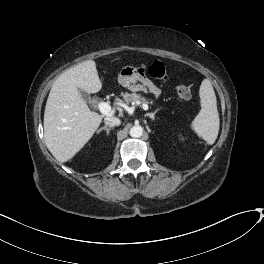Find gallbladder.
<instances>
[{
  "label": "gallbladder",
  "instance_id": "obj_1",
  "mask_svg": "<svg viewBox=\"0 0 264 264\" xmlns=\"http://www.w3.org/2000/svg\"><path fill=\"white\" fill-rule=\"evenodd\" d=\"M81 96L83 97V99L86 101V102H90L91 101V97L89 96L88 93H86L85 91L83 90H79Z\"/></svg>",
  "mask_w": 264,
  "mask_h": 264
}]
</instances>
